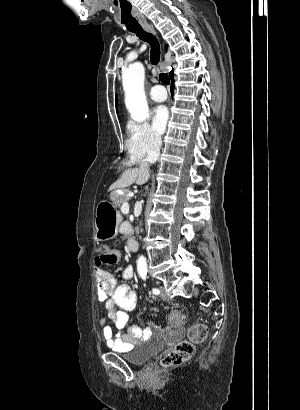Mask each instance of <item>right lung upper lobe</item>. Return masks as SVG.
I'll return each mask as SVG.
<instances>
[{
  "label": "right lung upper lobe",
  "mask_w": 300,
  "mask_h": 410,
  "mask_svg": "<svg viewBox=\"0 0 300 410\" xmlns=\"http://www.w3.org/2000/svg\"><path fill=\"white\" fill-rule=\"evenodd\" d=\"M169 75H170V77H172V76H173V70L169 73Z\"/></svg>",
  "instance_id": "right-lung-upper-lobe-1"
}]
</instances>
